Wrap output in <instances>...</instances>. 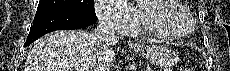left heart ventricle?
<instances>
[{"label": "left heart ventricle", "instance_id": "obj_1", "mask_svg": "<svg viewBox=\"0 0 230 71\" xmlns=\"http://www.w3.org/2000/svg\"><path fill=\"white\" fill-rule=\"evenodd\" d=\"M170 2V0H160L155 3L151 11L152 17L165 29L174 32H184L188 25L186 18L179 12L163 11L160 6Z\"/></svg>", "mask_w": 230, "mask_h": 71}]
</instances>
